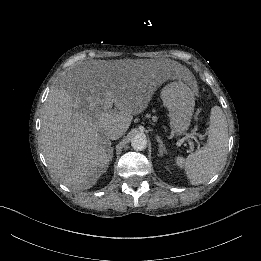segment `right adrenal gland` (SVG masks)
<instances>
[{
    "mask_svg": "<svg viewBox=\"0 0 261 261\" xmlns=\"http://www.w3.org/2000/svg\"><path fill=\"white\" fill-rule=\"evenodd\" d=\"M113 147H110V151H109V160L111 161L112 160V157H113Z\"/></svg>",
    "mask_w": 261,
    "mask_h": 261,
    "instance_id": "1",
    "label": "right adrenal gland"
}]
</instances>
